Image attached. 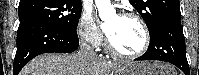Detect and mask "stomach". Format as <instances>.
Returning a JSON list of instances; mask_svg holds the SVG:
<instances>
[{
  "mask_svg": "<svg viewBox=\"0 0 199 75\" xmlns=\"http://www.w3.org/2000/svg\"><path fill=\"white\" fill-rule=\"evenodd\" d=\"M167 64L160 62H136L129 63L120 68H117L115 75H172Z\"/></svg>",
  "mask_w": 199,
  "mask_h": 75,
  "instance_id": "1",
  "label": "stomach"
}]
</instances>
